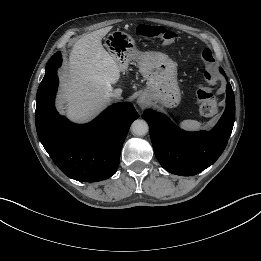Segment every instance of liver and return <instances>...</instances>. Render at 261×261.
I'll list each match as a JSON object with an SVG mask.
<instances>
[{
  "mask_svg": "<svg viewBox=\"0 0 261 261\" xmlns=\"http://www.w3.org/2000/svg\"><path fill=\"white\" fill-rule=\"evenodd\" d=\"M106 33L107 29H100L83 36L70 52L59 106L74 122L90 121L109 105L110 92H122L112 87L120 78V67L102 46Z\"/></svg>",
  "mask_w": 261,
  "mask_h": 261,
  "instance_id": "obj_1",
  "label": "liver"
}]
</instances>
